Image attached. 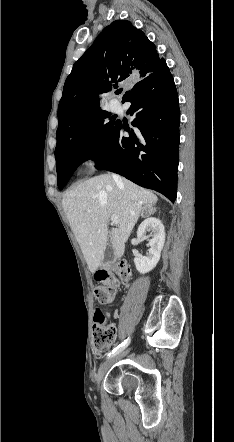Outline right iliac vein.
Listing matches in <instances>:
<instances>
[{"mask_svg":"<svg viewBox=\"0 0 234 442\" xmlns=\"http://www.w3.org/2000/svg\"><path fill=\"white\" fill-rule=\"evenodd\" d=\"M128 350L121 352L120 354H117L113 357H111L109 360H107L106 362H104L97 373L96 376V382L99 385L101 380L103 379L104 375L106 374V372L108 371V369L112 366V364L117 361L118 359L122 358L123 356H125L127 354Z\"/></svg>","mask_w":234,"mask_h":442,"instance_id":"right-iliac-vein-1","label":"right iliac vein"}]
</instances>
